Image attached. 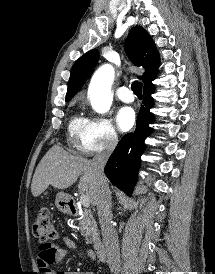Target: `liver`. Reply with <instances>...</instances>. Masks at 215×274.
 Wrapping results in <instances>:
<instances>
[{
  "label": "liver",
  "instance_id": "1",
  "mask_svg": "<svg viewBox=\"0 0 215 274\" xmlns=\"http://www.w3.org/2000/svg\"><path fill=\"white\" fill-rule=\"evenodd\" d=\"M81 176L78 189L95 205L97 197V179L91 161L70 154L60 146H53L38 164L31 184L34 197L43 193L49 185L57 189H66Z\"/></svg>",
  "mask_w": 215,
  "mask_h": 274
}]
</instances>
